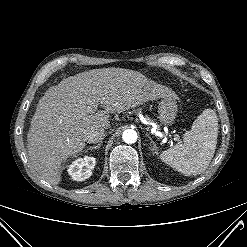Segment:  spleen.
Segmentation results:
<instances>
[{"mask_svg":"<svg viewBox=\"0 0 247 247\" xmlns=\"http://www.w3.org/2000/svg\"><path fill=\"white\" fill-rule=\"evenodd\" d=\"M217 137L216 113L205 109L184 134L183 142L163 151L160 159L185 176L201 174L214 156Z\"/></svg>","mask_w":247,"mask_h":247,"instance_id":"3e777b00","label":"spleen"}]
</instances>
